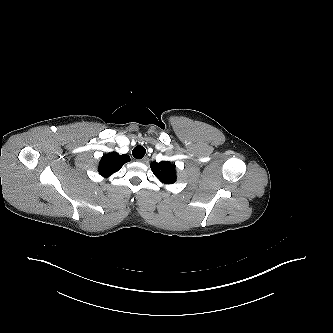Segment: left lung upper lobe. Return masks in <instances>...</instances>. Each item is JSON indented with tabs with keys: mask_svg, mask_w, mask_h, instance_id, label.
Returning <instances> with one entry per match:
<instances>
[{
	"mask_svg": "<svg viewBox=\"0 0 333 333\" xmlns=\"http://www.w3.org/2000/svg\"><path fill=\"white\" fill-rule=\"evenodd\" d=\"M151 170L154 175L165 184H173L176 181L175 165L169 161L151 162Z\"/></svg>",
	"mask_w": 333,
	"mask_h": 333,
	"instance_id": "1",
	"label": "left lung upper lobe"
}]
</instances>
